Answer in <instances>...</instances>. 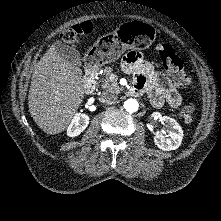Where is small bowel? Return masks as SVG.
<instances>
[{
  "label": "small bowel",
  "instance_id": "small-bowel-1",
  "mask_svg": "<svg viewBox=\"0 0 221 221\" xmlns=\"http://www.w3.org/2000/svg\"><path fill=\"white\" fill-rule=\"evenodd\" d=\"M122 67L126 73L134 76L135 94L146 92L155 107L165 103L173 108L180 106L182 99L178 89L186 86L176 84L157 71L139 52H128L123 58Z\"/></svg>",
  "mask_w": 221,
  "mask_h": 221
}]
</instances>
